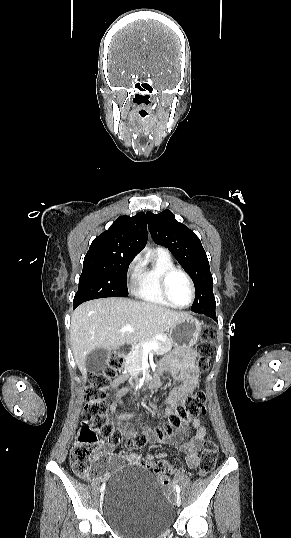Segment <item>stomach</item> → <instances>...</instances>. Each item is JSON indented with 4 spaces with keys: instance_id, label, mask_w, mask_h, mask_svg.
<instances>
[{
    "instance_id": "stomach-1",
    "label": "stomach",
    "mask_w": 291,
    "mask_h": 538,
    "mask_svg": "<svg viewBox=\"0 0 291 538\" xmlns=\"http://www.w3.org/2000/svg\"><path fill=\"white\" fill-rule=\"evenodd\" d=\"M201 331L199 321L188 315L170 328L171 342L178 348H191L198 340Z\"/></svg>"
}]
</instances>
